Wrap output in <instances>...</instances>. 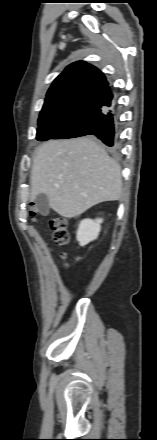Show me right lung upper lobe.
I'll return each mask as SVG.
<instances>
[{
    "mask_svg": "<svg viewBox=\"0 0 157 440\" xmlns=\"http://www.w3.org/2000/svg\"><path fill=\"white\" fill-rule=\"evenodd\" d=\"M113 95L105 76L83 61L70 64L51 85L38 122L78 120L90 126L112 109Z\"/></svg>",
    "mask_w": 157,
    "mask_h": 440,
    "instance_id": "obj_1",
    "label": "right lung upper lobe"
}]
</instances>
